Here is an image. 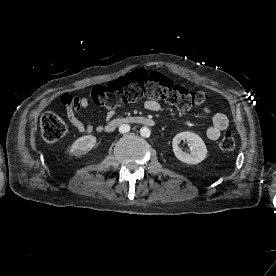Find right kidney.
Segmentation results:
<instances>
[{"label":"right kidney","mask_w":276,"mask_h":276,"mask_svg":"<svg viewBox=\"0 0 276 276\" xmlns=\"http://www.w3.org/2000/svg\"><path fill=\"white\" fill-rule=\"evenodd\" d=\"M96 141L93 135L82 136L73 142L69 151L74 156H81L89 152L95 146Z\"/></svg>","instance_id":"right-kidney-1"}]
</instances>
